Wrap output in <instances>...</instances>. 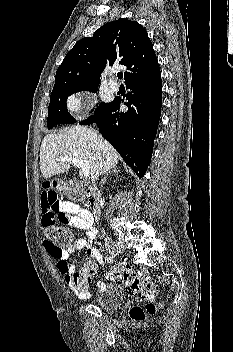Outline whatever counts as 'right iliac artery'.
Here are the masks:
<instances>
[{
  "instance_id": "82829eb1",
  "label": "right iliac artery",
  "mask_w": 233,
  "mask_h": 352,
  "mask_svg": "<svg viewBox=\"0 0 233 352\" xmlns=\"http://www.w3.org/2000/svg\"><path fill=\"white\" fill-rule=\"evenodd\" d=\"M106 260H107V262L111 263V262H113V260H114V256H113V255H108V256L106 257Z\"/></svg>"
}]
</instances>
